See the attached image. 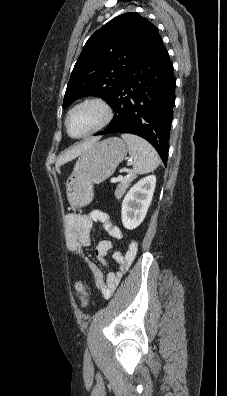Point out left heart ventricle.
<instances>
[{
    "mask_svg": "<svg viewBox=\"0 0 227 396\" xmlns=\"http://www.w3.org/2000/svg\"><path fill=\"white\" fill-rule=\"evenodd\" d=\"M101 109L95 105L82 107L69 118V130L73 136H81L90 131L102 119Z\"/></svg>",
    "mask_w": 227,
    "mask_h": 396,
    "instance_id": "b2bd125f",
    "label": "left heart ventricle"
}]
</instances>
